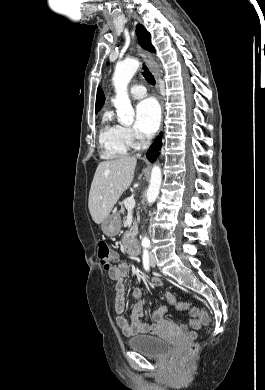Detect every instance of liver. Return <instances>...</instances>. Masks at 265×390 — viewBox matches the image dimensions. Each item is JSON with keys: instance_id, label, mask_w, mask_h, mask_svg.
<instances>
[{"instance_id": "6515ba94", "label": "liver", "mask_w": 265, "mask_h": 390, "mask_svg": "<svg viewBox=\"0 0 265 390\" xmlns=\"http://www.w3.org/2000/svg\"><path fill=\"white\" fill-rule=\"evenodd\" d=\"M136 157H122L99 163L89 193L88 207L93 221L101 224L124 191L131 185Z\"/></svg>"}]
</instances>
